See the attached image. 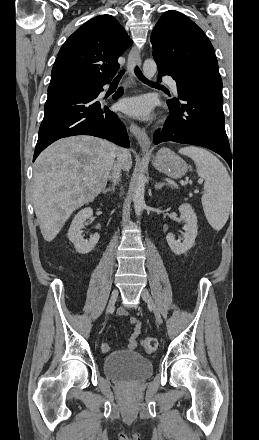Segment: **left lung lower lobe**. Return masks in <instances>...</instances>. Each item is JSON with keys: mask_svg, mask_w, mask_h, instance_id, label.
I'll return each instance as SVG.
<instances>
[{"mask_svg": "<svg viewBox=\"0 0 259 440\" xmlns=\"http://www.w3.org/2000/svg\"><path fill=\"white\" fill-rule=\"evenodd\" d=\"M156 63L158 80L163 75L173 78L165 65ZM177 89L181 103L173 100L167 102L170 115L162 129L154 133V144L173 141L206 147L221 155L231 166V151L225 132L222 87L198 81L185 85L177 83Z\"/></svg>", "mask_w": 259, "mask_h": 440, "instance_id": "1", "label": "left lung lower lobe"}]
</instances>
